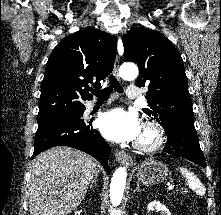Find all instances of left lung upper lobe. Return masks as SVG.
Returning <instances> with one entry per match:
<instances>
[{
  "instance_id": "left-lung-upper-lobe-1",
  "label": "left lung upper lobe",
  "mask_w": 221,
  "mask_h": 215,
  "mask_svg": "<svg viewBox=\"0 0 221 215\" xmlns=\"http://www.w3.org/2000/svg\"><path fill=\"white\" fill-rule=\"evenodd\" d=\"M124 59L138 65V87L148 85L149 108L143 111L160 125L194 124L183 60L173 44L158 32L140 28L122 37Z\"/></svg>"
}]
</instances>
